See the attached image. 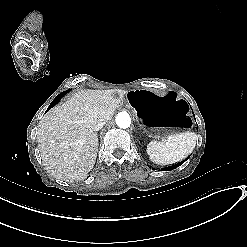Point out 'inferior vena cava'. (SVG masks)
Here are the masks:
<instances>
[{
    "label": "inferior vena cava",
    "instance_id": "inferior-vena-cava-1",
    "mask_svg": "<svg viewBox=\"0 0 247 247\" xmlns=\"http://www.w3.org/2000/svg\"><path fill=\"white\" fill-rule=\"evenodd\" d=\"M104 124H105V122H98V123L95 125L94 130H95V131H99L100 129L103 128Z\"/></svg>",
    "mask_w": 247,
    "mask_h": 247
}]
</instances>
